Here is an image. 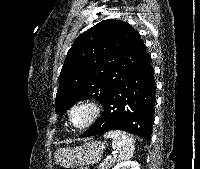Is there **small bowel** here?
I'll use <instances>...</instances> for the list:
<instances>
[{"instance_id":"small-bowel-1","label":"small bowel","mask_w":200,"mask_h":169,"mask_svg":"<svg viewBox=\"0 0 200 169\" xmlns=\"http://www.w3.org/2000/svg\"><path fill=\"white\" fill-rule=\"evenodd\" d=\"M80 169H89V168H80Z\"/></svg>"}]
</instances>
